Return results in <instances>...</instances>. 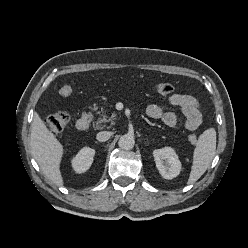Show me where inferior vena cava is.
Here are the masks:
<instances>
[{"label": "inferior vena cava", "mask_w": 248, "mask_h": 248, "mask_svg": "<svg viewBox=\"0 0 248 248\" xmlns=\"http://www.w3.org/2000/svg\"><path fill=\"white\" fill-rule=\"evenodd\" d=\"M111 135V132L102 131L97 134L96 138L99 142H105L110 138Z\"/></svg>", "instance_id": "602c4592"}]
</instances>
